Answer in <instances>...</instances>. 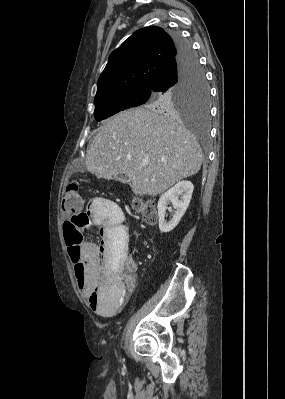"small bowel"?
<instances>
[{"label": "small bowel", "instance_id": "obj_1", "mask_svg": "<svg viewBox=\"0 0 285 399\" xmlns=\"http://www.w3.org/2000/svg\"><path fill=\"white\" fill-rule=\"evenodd\" d=\"M106 213H109L108 219H104ZM86 214L88 227L98 229L101 243L80 244L76 263L83 266L84 272L79 288L87 294L96 314L110 316L123 303L126 291L134 288L136 263L129 255L118 257L119 221L123 222L124 216L112 203L101 197L92 198L86 203Z\"/></svg>", "mask_w": 285, "mask_h": 399}]
</instances>
